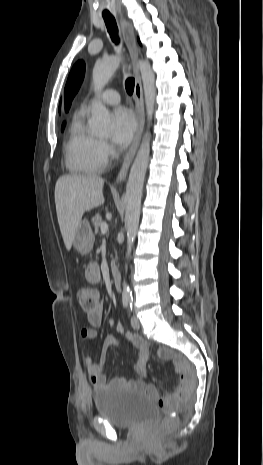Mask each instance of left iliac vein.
Here are the masks:
<instances>
[{"instance_id": "4c4485c4", "label": "left iliac vein", "mask_w": 263, "mask_h": 465, "mask_svg": "<svg viewBox=\"0 0 263 465\" xmlns=\"http://www.w3.org/2000/svg\"><path fill=\"white\" fill-rule=\"evenodd\" d=\"M131 326L135 330H138L140 328V321L136 316H132V318H131Z\"/></svg>"}]
</instances>
